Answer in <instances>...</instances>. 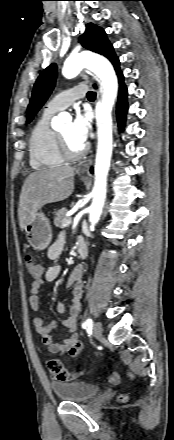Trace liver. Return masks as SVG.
<instances>
[{"label":"liver","instance_id":"liver-1","mask_svg":"<svg viewBox=\"0 0 174 440\" xmlns=\"http://www.w3.org/2000/svg\"><path fill=\"white\" fill-rule=\"evenodd\" d=\"M74 168H42L24 181L19 197V226H26L44 205L67 199L74 191Z\"/></svg>","mask_w":174,"mask_h":440}]
</instances>
